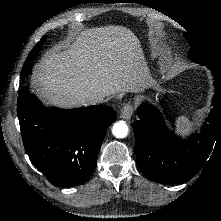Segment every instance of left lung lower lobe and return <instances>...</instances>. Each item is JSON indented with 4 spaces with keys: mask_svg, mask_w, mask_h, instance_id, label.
Here are the masks:
<instances>
[{
    "mask_svg": "<svg viewBox=\"0 0 221 221\" xmlns=\"http://www.w3.org/2000/svg\"><path fill=\"white\" fill-rule=\"evenodd\" d=\"M214 85L213 108L200 133L189 140L176 138L165 127L154 106L142 104L139 107V120L132 124L136 162L149 179L158 183H178L190 180L201 169L216 138L221 139V80L216 78Z\"/></svg>",
    "mask_w": 221,
    "mask_h": 221,
    "instance_id": "obj_1",
    "label": "left lung lower lobe"
}]
</instances>
